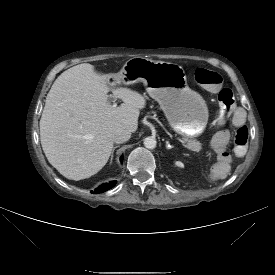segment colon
<instances>
[{"label":"colon","mask_w":275,"mask_h":275,"mask_svg":"<svg viewBox=\"0 0 275 275\" xmlns=\"http://www.w3.org/2000/svg\"><path fill=\"white\" fill-rule=\"evenodd\" d=\"M196 81L211 91L218 90L219 112L217 121L223 122L234 108L235 101L232 91L229 88H220L222 77L207 69L200 68L195 73ZM248 143V130L242 127L236 130L234 135V145L237 154L241 155L245 152ZM229 173V172H228Z\"/></svg>","instance_id":"obj_1"}]
</instances>
